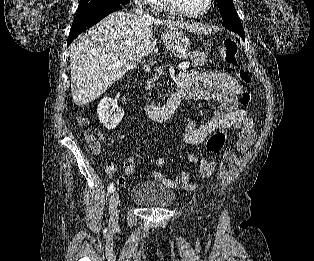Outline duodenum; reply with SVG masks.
<instances>
[{
  "mask_svg": "<svg viewBox=\"0 0 314 261\" xmlns=\"http://www.w3.org/2000/svg\"><path fill=\"white\" fill-rule=\"evenodd\" d=\"M136 84L137 82L134 81L133 82L134 87L136 86ZM184 95H186L187 97L189 96L187 91L182 85L181 79L177 78V91L168 99L166 104H164L163 106L155 105L147 106V113L149 117L158 122L170 119L180 106Z\"/></svg>",
  "mask_w": 314,
  "mask_h": 261,
  "instance_id": "duodenum-1",
  "label": "duodenum"
}]
</instances>
